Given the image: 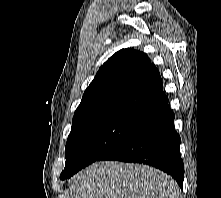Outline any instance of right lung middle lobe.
<instances>
[{"instance_id":"1","label":"right lung middle lobe","mask_w":221,"mask_h":198,"mask_svg":"<svg viewBox=\"0 0 221 198\" xmlns=\"http://www.w3.org/2000/svg\"><path fill=\"white\" fill-rule=\"evenodd\" d=\"M141 120L109 117L72 130L65 147V168L60 179H68L128 137Z\"/></svg>"}]
</instances>
